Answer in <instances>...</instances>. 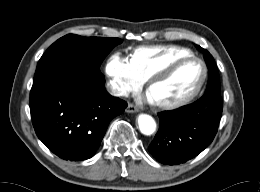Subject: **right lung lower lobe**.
I'll use <instances>...</instances> for the list:
<instances>
[{"mask_svg": "<svg viewBox=\"0 0 260 192\" xmlns=\"http://www.w3.org/2000/svg\"><path fill=\"white\" fill-rule=\"evenodd\" d=\"M100 71L63 66L33 82L30 112L39 139L65 160L94 156L110 121L127 103L104 88Z\"/></svg>", "mask_w": 260, "mask_h": 192, "instance_id": "obj_1", "label": "right lung lower lobe"}]
</instances>
